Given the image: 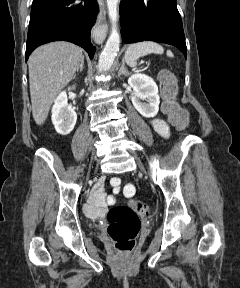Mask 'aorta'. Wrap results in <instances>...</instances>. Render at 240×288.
<instances>
[{
  "label": "aorta",
  "mask_w": 240,
  "mask_h": 288,
  "mask_svg": "<svg viewBox=\"0 0 240 288\" xmlns=\"http://www.w3.org/2000/svg\"><path fill=\"white\" fill-rule=\"evenodd\" d=\"M106 2L112 28L104 49L99 56L98 72L107 71L111 68L120 46V35L117 30L118 4L120 0H107Z\"/></svg>",
  "instance_id": "762f6f07"
}]
</instances>
